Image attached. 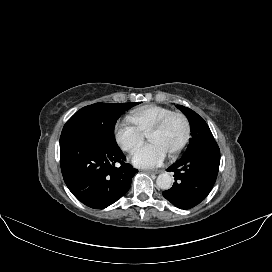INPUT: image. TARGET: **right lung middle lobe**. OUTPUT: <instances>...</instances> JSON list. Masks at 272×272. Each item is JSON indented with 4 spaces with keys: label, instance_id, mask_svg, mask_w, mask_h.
Masks as SVG:
<instances>
[{
    "label": "right lung middle lobe",
    "instance_id": "dd1d6c3e",
    "mask_svg": "<svg viewBox=\"0 0 272 272\" xmlns=\"http://www.w3.org/2000/svg\"><path fill=\"white\" fill-rule=\"evenodd\" d=\"M135 103H95L77 111L64 125L62 132L82 130L95 134L110 144L117 145L114 126L118 118Z\"/></svg>",
    "mask_w": 272,
    "mask_h": 272
}]
</instances>
